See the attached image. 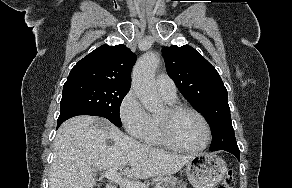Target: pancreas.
I'll return each instance as SVG.
<instances>
[{
    "mask_svg": "<svg viewBox=\"0 0 292 188\" xmlns=\"http://www.w3.org/2000/svg\"><path fill=\"white\" fill-rule=\"evenodd\" d=\"M157 184L161 188H187L186 183L173 176L160 177Z\"/></svg>",
    "mask_w": 292,
    "mask_h": 188,
    "instance_id": "cf45deb5",
    "label": "pancreas"
}]
</instances>
